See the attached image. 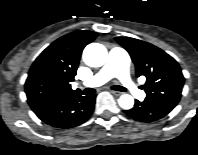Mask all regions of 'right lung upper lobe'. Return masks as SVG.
I'll return each instance as SVG.
<instances>
[{
	"label": "right lung upper lobe",
	"instance_id": "1",
	"mask_svg": "<svg viewBox=\"0 0 198 155\" xmlns=\"http://www.w3.org/2000/svg\"><path fill=\"white\" fill-rule=\"evenodd\" d=\"M96 32L76 31L60 37L34 61L25 83L31 108L79 93L71 88L82 50L97 37Z\"/></svg>",
	"mask_w": 198,
	"mask_h": 155
}]
</instances>
